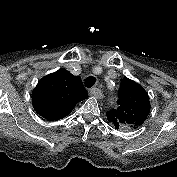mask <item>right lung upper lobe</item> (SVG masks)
Here are the masks:
<instances>
[{"instance_id": "right-lung-upper-lobe-1", "label": "right lung upper lobe", "mask_w": 177, "mask_h": 177, "mask_svg": "<svg viewBox=\"0 0 177 177\" xmlns=\"http://www.w3.org/2000/svg\"><path fill=\"white\" fill-rule=\"evenodd\" d=\"M88 97L82 81L65 69L43 77L32 93L35 111L54 121L66 117L75 105Z\"/></svg>"}]
</instances>
